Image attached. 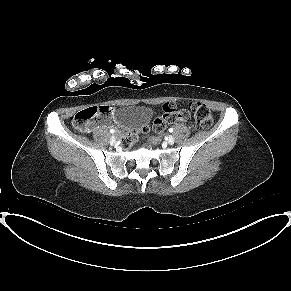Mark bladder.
<instances>
[{"label":"bladder","instance_id":"31cf9c89","mask_svg":"<svg viewBox=\"0 0 291 291\" xmlns=\"http://www.w3.org/2000/svg\"><path fill=\"white\" fill-rule=\"evenodd\" d=\"M150 118L149 109L138 105L120 107L115 115L116 124L121 128H135L144 124Z\"/></svg>","mask_w":291,"mask_h":291}]
</instances>
